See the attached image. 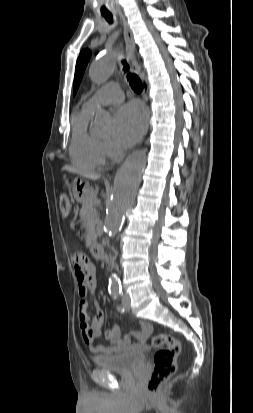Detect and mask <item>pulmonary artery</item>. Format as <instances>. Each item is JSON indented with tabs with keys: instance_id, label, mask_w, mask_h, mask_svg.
<instances>
[{
	"instance_id": "e3ab8cb5",
	"label": "pulmonary artery",
	"mask_w": 253,
	"mask_h": 413,
	"mask_svg": "<svg viewBox=\"0 0 253 413\" xmlns=\"http://www.w3.org/2000/svg\"><path fill=\"white\" fill-rule=\"evenodd\" d=\"M124 95L117 84L110 83L94 93L84 104V107L95 110L100 106L116 104L123 100Z\"/></svg>"
}]
</instances>
